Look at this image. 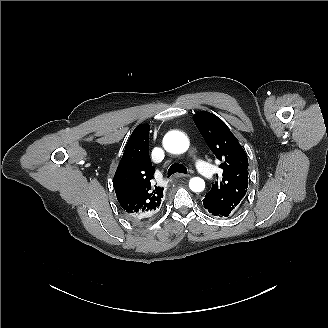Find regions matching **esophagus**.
<instances>
[{
	"label": "esophagus",
	"instance_id": "esophagus-1",
	"mask_svg": "<svg viewBox=\"0 0 328 328\" xmlns=\"http://www.w3.org/2000/svg\"><path fill=\"white\" fill-rule=\"evenodd\" d=\"M188 175L186 174H180V173H177V174H174L173 175V178H182V177H187Z\"/></svg>",
	"mask_w": 328,
	"mask_h": 328
}]
</instances>
